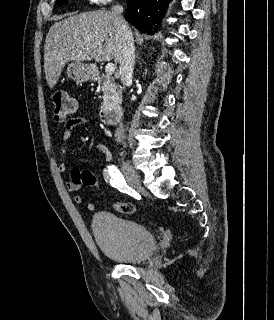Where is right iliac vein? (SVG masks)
I'll use <instances>...</instances> for the list:
<instances>
[{
	"label": "right iliac vein",
	"instance_id": "1",
	"mask_svg": "<svg viewBox=\"0 0 274 320\" xmlns=\"http://www.w3.org/2000/svg\"><path fill=\"white\" fill-rule=\"evenodd\" d=\"M122 172L128 183L139 191H143L140 178L137 172L130 166L128 162L123 161L121 164Z\"/></svg>",
	"mask_w": 274,
	"mask_h": 320
}]
</instances>
